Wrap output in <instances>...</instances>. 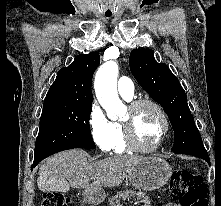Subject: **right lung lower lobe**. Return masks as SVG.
Returning <instances> with one entry per match:
<instances>
[{
    "mask_svg": "<svg viewBox=\"0 0 221 206\" xmlns=\"http://www.w3.org/2000/svg\"><path fill=\"white\" fill-rule=\"evenodd\" d=\"M41 160H43V159H34V163H33L32 167H31V170H32Z\"/></svg>",
    "mask_w": 221,
    "mask_h": 206,
    "instance_id": "right-lung-lower-lobe-1",
    "label": "right lung lower lobe"
}]
</instances>
